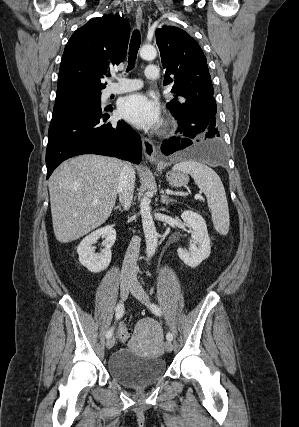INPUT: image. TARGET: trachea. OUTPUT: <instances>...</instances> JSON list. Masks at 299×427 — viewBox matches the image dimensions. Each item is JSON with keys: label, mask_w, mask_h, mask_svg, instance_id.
I'll list each match as a JSON object with an SVG mask.
<instances>
[{"label": "trachea", "mask_w": 299, "mask_h": 427, "mask_svg": "<svg viewBox=\"0 0 299 427\" xmlns=\"http://www.w3.org/2000/svg\"><path fill=\"white\" fill-rule=\"evenodd\" d=\"M140 43H141V37H140V32L139 30H134L131 40H130V45H129V57H128V67H127V71L133 69L134 64H135V60L137 57V53L140 47Z\"/></svg>", "instance_id": "1"}]
</instances>
